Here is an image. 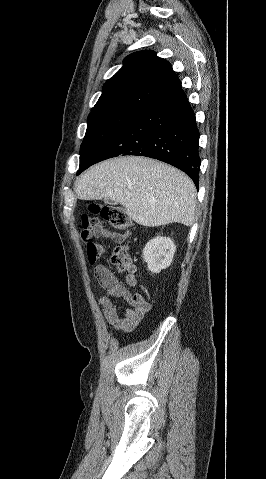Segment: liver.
<instances>
[{"instance_id":"6515ba94","label":"liver","mask_w":266,"mask_h":479,"mask_svg":"<svg viewBox=\"0 0 266 479\" xmlns=\"http://www.w3.org/2000/svg\"><path fill=\"white\" fill-rule=\"evenodd\" d=\"M76 195L81 200L110 198L146 227L195 222L196 188L191 179L149 158L118 157L96 164L78 180Z\"/></svg>"}]
</instances>
